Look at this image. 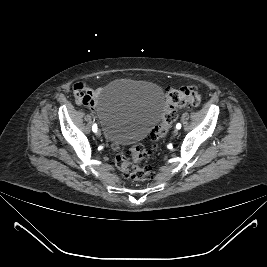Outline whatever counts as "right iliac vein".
I'll return each instance as SVG.
<instances>
[{
    "instance_id": "right-iliac-vein-1",
    "label": "right iliac vein",
    "mask_w": 267,
    "mask_h": 267,
    "mask_svg": "<svg viewBox=\"0 0 267 267\" xmlns=\"http://www.w3.org/2000/svg\"><path fill=\"white\" fill-rule=\"evenodd\" d=\"M95 134H96L97 137H100L101 136V131L97 130Z\"/></svg>"
}]
</instances>
